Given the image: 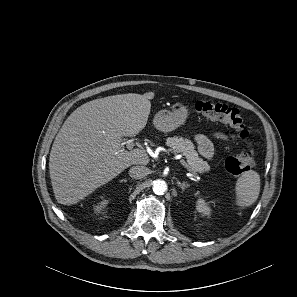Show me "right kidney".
<instances>
[{
  "mask_svg": "<svg viewBox=\"0 0 297 297\" xmlns=\"http://www.w3.org/2000/svg\"><path fill=\"white\" fill-rule=\"evenodd\" d=\"M108 204V200H102L97 206H95L96 211L102 210Z\"/></svg>",
  "mask_w": 297,
  "mask_h": 297,
  "instance_id": "ca27d5eb",
  "label": "right kidney"
}]
</instances>
